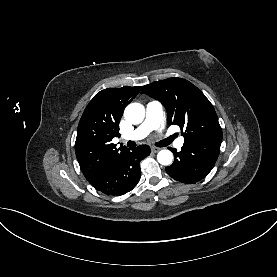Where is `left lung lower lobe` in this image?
<instances>
[{
    "instance_id": "left-lung-lower-lobe-1",
    "label": "left lung lower lobe",
    "mask_w": 277,
    "mask_h": 277,
    "mask_svg": "<svg viewBox=\"0 0 277 277\" xmlns=\"http://www.w3.org/2000/svg\"><path fill=\"white\" fill-rule=\"evenodd\" d=\"M222 137L204 138L184 142L178 153L173 149L175 160L166 172L182 183H195L203 179L214 167L219 156Z\"/></svg>"
}]
</instances>
